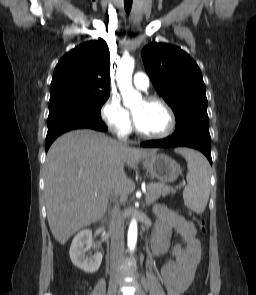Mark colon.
<instances>
[{
  "label": "colon",
  "mask_w": 256,
  "mask_h": 295,
  "mask_svg": "<svg viewBox=\"0 0 256 295\" xmlns=\"http://www.w3.org/2000/svg\"><path fill=\"white\" fill-rule=\"evenodd\" d=\"M197 222H198V225H199L200 232H201V233H205L204 221L198 219Z\"/></svg>",
  "instance_id": "obj_1"
}]
</instances>
